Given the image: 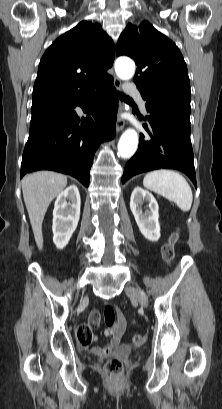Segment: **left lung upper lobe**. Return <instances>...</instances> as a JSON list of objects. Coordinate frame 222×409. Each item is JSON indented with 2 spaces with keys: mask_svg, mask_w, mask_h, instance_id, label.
<instances>
[{
  "mask_svg": "<svg viewBox=\"0 0 222 409\" xmlns=\"http://www.w3.org/2000/svg\"><path fill=\"white\" fill-rule=\"evenodd\" d=\"M116 55H127L137 64L134 82L146 108L178 102L190 113V81L177 46L148 21L128 24L116 45Z\"/></svg>",
  "mask_w": 222,
  "mask_h": 409,
  "instance_id": "obj_1",
  "label": "left lung upper lobe"
}]
</instances>
